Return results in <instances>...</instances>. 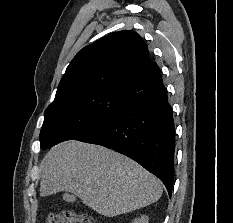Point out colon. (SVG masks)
Segmentation results:
<instances>
[{
    "instance_id": "1",
    "label": "colon",
    "mask_w": 233,
    "mask_h": 223,
    "mask_svg": "<svg viewBox=\"0 0 233 223\" xmlns=\"http://www.w3.org/2000/svg\"><path fill=\"white\" fill-rule=\"evenodd\" d=\"M47 223H94V221L84 213H76L69 209H64L60 214L50 213Z\"/></svg>"
}]
</instances>
